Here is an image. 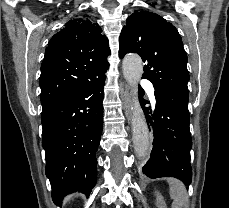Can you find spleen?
<instances>
[{
    "instance_id": "spleen-1",
    "label": "spleen",
    "mask_w": 229,
    "mask_h": 208,
    "mask_svg": "<svg viewBox=\"0 0 229 208\" xmlns=\"http://www.w3.org/2000/svg\"><path fill=\"white\" fill-rule=\"evenodd\" d=\"M168 184L170 186V198L173 200L172 208H184L187 202V194L184 184L174 178H169Z\"/></svg>"
}]
</instances>
